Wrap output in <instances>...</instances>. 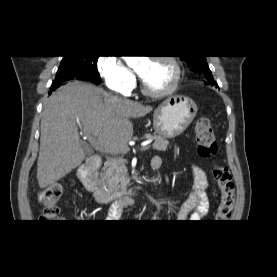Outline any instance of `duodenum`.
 Instances as JSON below:
<instances>
[{"instance_id":"1","label":"duodenum","mask_w":277,"mask_h":277,"mask_svg":"<svg viewBox=\"0 0 277 277\" xmlns=\"http://www.w3.org/2000/svg\"><path fill=\"white\" fill-rule=\"evenodd\" d=\"M100 165V160L97 157H90L84 164L78 169V177L85 189L95 195L96 200L99 204L106 203L112 195H110L102 186L96 176V171ZM144 186L138 185L129 188L122 192L119 200L125 205H131V197L140 191Z\"/></svg>"}]
</instances>
